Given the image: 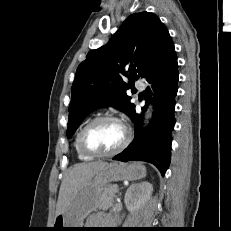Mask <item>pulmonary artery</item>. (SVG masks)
<instances>
[{
	"instance_id": "obj_1",
	"label": "pulmonary artery",
	"mask_w": 231,
	"mask_h": 231,
	"mask_svg": "<svg viewBox=\"0 0 231 231\" xmlns=\"http://www.w3.org/2000/svg\"><path fill=\"white\" fill-rule=\"evenodd\" d=\"M135 87L138 90L142 91V90L145 89V84L141 80H138V81L135 82Z\"/></svg>"
}]
</instances>
